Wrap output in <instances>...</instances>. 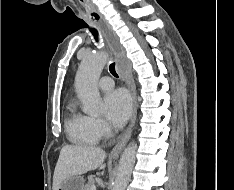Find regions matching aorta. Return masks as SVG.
<instances>
[{
  "label": "aorta",
  "instance_id": "1",
  "mask_svg": "<svg viewBox=\"0 0 234 190\" xmlns=\"http://www.w3.org/2000/svg\"><path fill=\"white\" fill-rule=\"evenodd\" d=\"M107 56L104 52L87 54L78 68L75 86L83 110L87 114H97L101 107V96L97 82L106 65ZM136 145L129 144L123 151L112 190H125L130 180L135 163Z\"/></svg>",
  "mask_w": 234,
  "mask_h": 190
}]
</instances>
